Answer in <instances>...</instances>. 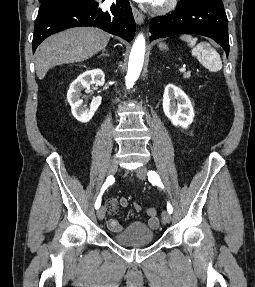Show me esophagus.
I'll use <instances>...</instances> for the list:
<instances>
[{
	"label": "esophagus",
	"mask_w": 255,
	"mask_h": 287,
	"mask_svg": "<svg viewBox=\"0 0 255 287\" xmlns=\"http://www.w3.org/2000/svg\"><path fill=\"white\" fill-rule=\"evenodd\" d=\"M132 12L134 19L138 25H141L144 22V15L140 12L134 5H132Z\"/></svg>",
	"instance_id": "1"
}]
</instances>
